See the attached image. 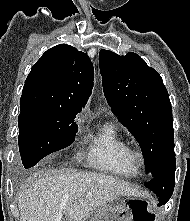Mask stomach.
<instances>
[{
    "label": "stomach",
    "mask_w": 190,
    "mask_h": 221,
    "mask_svg": "<svg viewBox=\"0 0 190 221\" xmlns=\"http://www.w3.org/2000/svg\"><path fill=\"white\" fill-rule=\"evenodd\" d=\"M152 217H157L156 208L151 207L149 200H118V204L96 210L90 221H157Z\"/></svg>",
    "instance_id": "0dacf381"
}]
</instances>
